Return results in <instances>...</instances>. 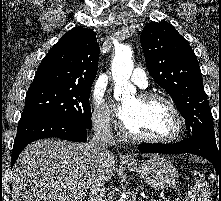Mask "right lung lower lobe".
<instances>
[{
    "label": "right lung lower lobe",
    "instance_id": "obj_1",
    "mask_svg": "<svg viewBox=\"0 0 221 201\" xmlns=\"http://www.w3.org/2000/svg\"><path fill=\"white\" fill-rule=\"evenodd\" d=\"M91 128L92 126H85L67 118L38 115L21 118L14 140L11 166L14 165L21 151L35 140L57 137L84 142L87 140V130Z\"/></svg>",
    "mask_w": 221,
    "mask_h": 201
}]
</instances>
